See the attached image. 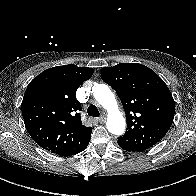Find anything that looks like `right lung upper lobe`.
<instances>
[{
  "label": "right lung upper lobe",
  "mask_w": 196,
  "mask_h": 196,
  "mask_svg": "<svg viewBox=\"0 0 196 196\" xmlns=\"http://www.w3.org/2000/svg\"><path fill=\"white\" fill-rule=\"evenodd\" d=\"M93 72L73 64L56 66L29 83L22 116L28 133L43 149L65 156L91 137L92 128L82 125L75 94Z\"/></svg>",
  "instance_id": "cb5924a9"
}]
</instances>
